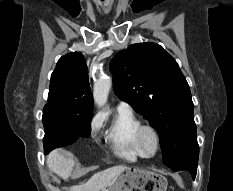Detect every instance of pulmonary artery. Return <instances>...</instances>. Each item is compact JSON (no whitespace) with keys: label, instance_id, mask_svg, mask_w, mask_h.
<instances>
[{"label":"pulmonary artery","instance_id":"1","mask_svg":"<svg viewBox=\"0 0 233 191\" xmlns=\"http://www.w3.org/2000/svg\"><path fill=\"white\" fill-rule=\"evenodd\" d=\"M118 110H125V111H130V106L126 102H119L118 103Z\"/></svg>","mask_w":233,"mask_h":191}]
</instances>
